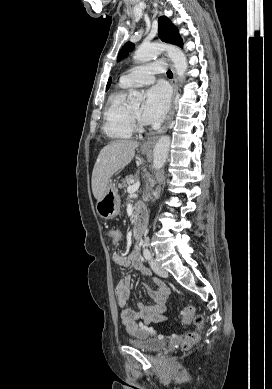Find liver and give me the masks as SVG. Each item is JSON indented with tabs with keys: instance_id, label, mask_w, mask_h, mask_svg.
Returning <instances> with one entry per match:
<instances>
[{
	"instance_id": "6515ba94",
	"label": "liver",
	"mask_w": 272,
	"mask_h": 389,
	"mask_svg": "<svg viewBox=\"0 0 272 389\" xmlns=\"http://www.w3.org/2000/svg\"><path fill=\"white\" fill-rule=\"evenodd\" d=\"M138 146L137 141L120 140L113 141L101 149L91 180L92 192L97 200L104 195L112 175L132 161Z\"/></svg>"
}]
</instances>
